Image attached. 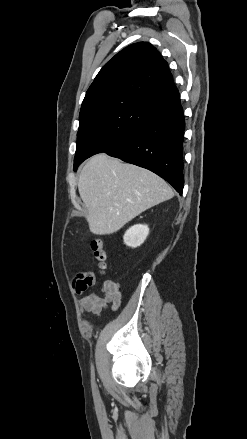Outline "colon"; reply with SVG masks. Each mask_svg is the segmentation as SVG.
<instances>
[{"instance_id":"5ec220e1","label":"colon","mask_w":247,"mask_h":439,"mask_svg":"<svg viewBox=\"0 0 247 439\" xmlns=\"http://www.w3.org/2000/svg\"><path fill=\"white\" fill-rule=\"evenodd\" d=\"M90 247L93 252L94 258L98 263L100 271H104L106 267L107 255L102 240L99 238H94L90 243Z\"/></svg>"}]
</instances>
